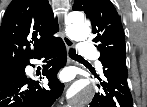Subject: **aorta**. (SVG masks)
I'll use <instances>...</instances> for the list:
<instances>
[{"mask_svg": "<svg viewBox=\"0 0 147 107\" xmlns=\"http://www.w3.org/2000/svg\"><path fill=\"white\" fill-rule=\"evenodd\" d=\"M67 35L75 41L86 40L91 35V30L83 20L74 18L66 26ZM74 106H86L93 98L95 86L86 80L76 82L69 90Z\"/></svg>", "mask_w": 147, "mask_h": 107, "instance_id": "aorta-1", "label": "aorta"}]
</instances>
